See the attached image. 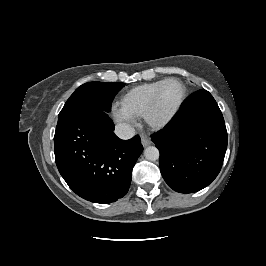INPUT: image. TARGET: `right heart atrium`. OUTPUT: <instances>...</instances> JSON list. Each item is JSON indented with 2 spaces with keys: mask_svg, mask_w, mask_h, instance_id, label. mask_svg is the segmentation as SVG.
I'll list each match as a JSON object with an SVG mask.
<instances>
[{
  "mask_svg": "<svg viewBox=\"0 0 266 266\" xmlns=\"http://www.w3.org/2000/svg\"><path fill=\"white\" fill-rule=\"evenodd\" d=\"M111 112H112V116L114 120L117 122H121V123L134 122V116L130 114L127 110H125L123 107L113 105Z\"/></svg>",
  "mask_w": 266,
  "mask_h": 266,
  "instance_id": "d8ad5b80",
  "label": "right heart atrium"
}]
</instances>
